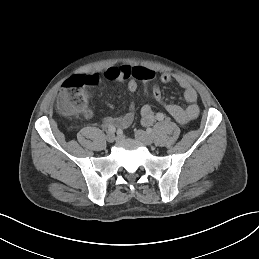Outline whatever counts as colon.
<instances>
[{
    "label": "colon",
    "mask_w": 259,
    "mask_h": 259,
    "mask_svg": "<svg viewBox=\"0 0 259 259\" xmlns=\"http://www.w3.org/2000/svg\"><path fill=\"white\" fill-rule=\"evenodd\" d=\"M88 80L83 76H73L69 78L63 86L59 97L57 110L58 112L69 118H75L81 115L87 107L88 95L86 87ZM146 95L156 98L161 94L160 89L156 86L146 87L144 89Z\"/></svg>",
    "instance_id": "colon-1"
}]
</instances>
